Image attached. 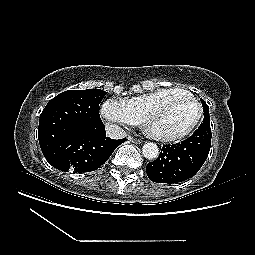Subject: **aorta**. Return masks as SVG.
Listing matches in <instances>:
<instances>
[{
    "label": "aorta",
    "mask_w": 255,
    "mask_h": 255,
    "mask_svg": "<svg viewBox=\"0 0 255 255\" xmlns=\"http://www.w3.org/2000/svg\"><path fill=\"white\" fill-rule=\"evenodd\" d=\"M142 152L145 158L153 160L159 155V148L155 143L147 142L142 147Z\"/></svg>",
    "instance_id": "1"
}]
</instances>
